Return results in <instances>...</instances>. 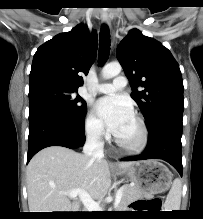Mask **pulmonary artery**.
<instances>
[{"mask_svg": "<svg viewBox=\"0 0 203 219\" xmlns=\"http://www.w3.org/2000/svg\"><path fill=\"white\" fill-rule=\"evenodd\" d=\"M127 79L124 76L116 77L112 83H100L94 87V90L99 93L111 94L125 88Z\"/></svg>", "mask_w": 203, "mask_h": 219, "instance_id": "obj_1", "label": "pulmonary artery"}]
</instances>
